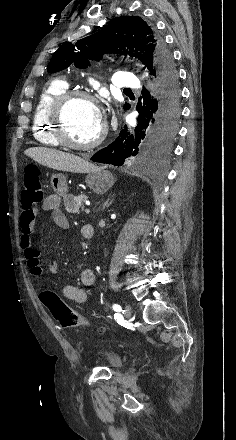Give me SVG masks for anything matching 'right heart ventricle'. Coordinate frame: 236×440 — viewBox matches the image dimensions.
<instances>
[{"label":"right heart ventricle","instance_id":"e07e8e85","mask_svg":"<svg viewBox=\"0 0 236 440\" xmlns=\"http://www.w3.org/2000/svg\"><path fill=\"white\" fill-rule=\"evenodd\" d=\"M68 87L66 79L58 77L50 80L39 94L33 113V136L42 145L61 146L53 135L48 113L53 100L67 90Z\"/></svg>","mask_w":236,"mask_h":440}]
</instances>
